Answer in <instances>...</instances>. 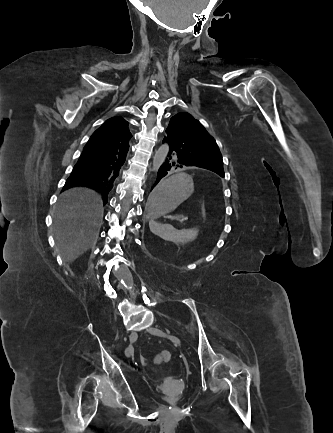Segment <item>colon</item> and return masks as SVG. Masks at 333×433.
<instances>
[{
  "instance_id": "1",
  "label": "colon",
  "mask_w": 333,
  "mask_h": 433,
  "mask_svg": "<svg viewBox=\"0 0 333 433\" xmlns=\"http://www.w3.org/2000/svg\"><path fill=\"white\" fill-rule=\"evenodd\" d=\"M171 359V353L167 350L161 351L154 357V362L158 366L167 364Z\"/></svg>"
}]
</instances>
